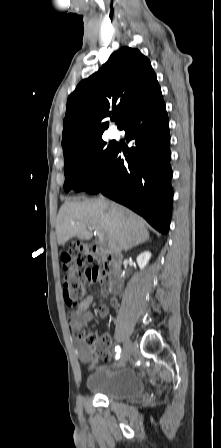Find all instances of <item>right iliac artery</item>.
I'll return each instance as SVG.
<instances>
[{"label": "right iliac artery", "instance_id": "82829eb1", "mask_svg": "<svg viewBox=\"0 0 221 448\" xmlns=\"http://www.w3.org/2000/svg\"><path fill=\"white\" fill-rule=\"evenodd\" d=\"M115 351L117 352V354H116V359H118V358L120 357V353H121V348H120V346H116V347H115Z\"/></svg>", "mask_w": 221, "mask_h": 448}]
</instances>
